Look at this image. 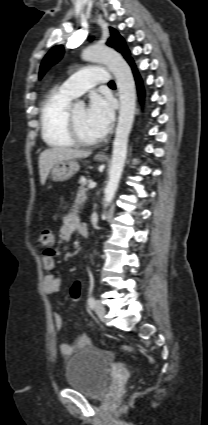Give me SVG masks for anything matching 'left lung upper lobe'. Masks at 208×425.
<instances>
[{
  "label": "left lung upper lobe",
  "instance_id": "left-lung-upper-lobe-1",
  "mask_svg": "<svg viewBox=\"0 0 208 425\" xmlns=\"http://www.w3.org/2000/svg\"><path fill=\"white\" fill-rule=\"evenodd\" d=\"M106 44L114 48L116 51L120 52L124 56V58L128 61V63L132 60L130 58L129 50L125 44L124 39L119 35V33L114 28L110 27V38L108 39ZM63 52H64L63 46L57 45L53 47L47 53V55L44 57L40 66L39 78H41L44 75V73L52 64H55L61 59Z\"/></svg>",
  "mask_w": 208,
  "mask_h": 425
}]
</instances>
